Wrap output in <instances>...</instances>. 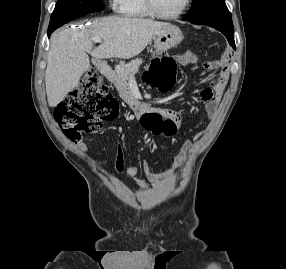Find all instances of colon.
<instances>
[{
    "mask_svg": "<svg viewBox=\"0 0 286 269\" xmlns=\"http://www.w3.org/2000/svg\"><path fill=\"white\" fill-rule=\"evenodd\" d=\"M151 63L145 80L162 91L170 90L175 83L176 62L166 49H153ZM208 70V69H207ZM118 114V103L110 93L100 75L90 70L81 80L79 88L64 98L56 107L54 115L64 135L73 142L80 140L83 133L97 131L103 122L113 120ZM143 116V126L160 138H165L176 129L173 121L159 114Z\"/></svg>",
    "mask_w": 286,
    "mask_h": 269,
    "instance_id": "obj_1",
    "label": "colon"
}]
</instances>
